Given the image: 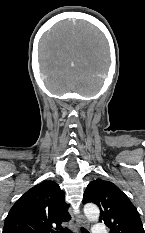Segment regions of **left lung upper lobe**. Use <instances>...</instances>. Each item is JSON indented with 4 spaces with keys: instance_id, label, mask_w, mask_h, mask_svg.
I'll use <instances>...</instances> for the list:
<instances>
[{
    "instance_id": "5c2ea615",
    "label": "left lung upper lobe",
    "mask_w": 145,
    "mask_h": 233,
    "mask_svg": "<svg viewBox=\"0 0 145 233\" xmlns=\"http://www.w3.org/2000/svg\"><path fill=\"white\" fill-rule=\"evenodd\" d=\"M88 202L98 205L100 221L110 233H145L137 209L112 182L96 179L89 183L83 195V203Z\"/></svg>"
}]
</instances>
